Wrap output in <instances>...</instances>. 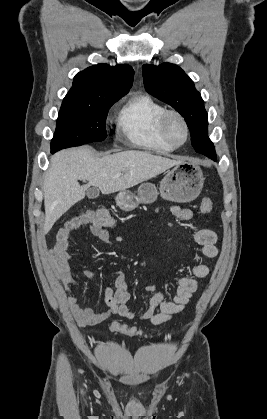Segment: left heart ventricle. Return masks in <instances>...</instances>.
I'll return each instance as SVG.
<instances>
[{
  "label": "left heart ventricle",
  "mask_w": 267,
  "mask_h": 419,
  "mask_svg": "<svg viewBox=\"0 0 267 419\" xmlns=\"http://www.w3.org/2000/svg\"><path fill=\"white\" fill-rule=\"evenodd\" d=\"M168 132L172 140L181 143L185 138V130L181 122L176 118H171L168 124Z\"/></svg>",
  "instance_id": "1"
}]
</instances>
